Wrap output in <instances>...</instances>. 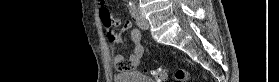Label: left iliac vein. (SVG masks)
Returning <instances> with one entry per match:
<instances>
[{
  "label": "left iliac vein",
  "mask_w": 279,
  "mask_h": 82,
  "mask_svg": "<svg viewBox=\"0 0 279 82\" xmlns=\"http://www.w3.org/2000/svg\"><path fill=\"white\" fill-rule=\"evenodd\" d=\"M136 24L141 29H148L149 28V23H148L147 19L138 10L136 11Z\"/></svg>",
  "instance_id": "obj_1"
}]
</instances>
